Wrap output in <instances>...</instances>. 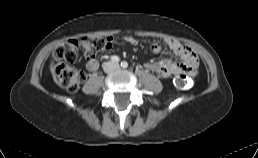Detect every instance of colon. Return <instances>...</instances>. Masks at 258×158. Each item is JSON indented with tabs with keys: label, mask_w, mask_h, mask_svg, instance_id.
Segmentation results:
<instances>
[{
	"label": "colon",
	"mask_w": 258,
	"mask_h": 158,
	"mask_svg": "<svg viewBox=\"0 0 258 158\" xmlns=\"http://www.w3.org/2000/svg\"><path fill=\"white\" fill-rule=\"evenodd\" d=\"M111 47L109 37H80L65 40L54 52L51 68L58 82L69 92H75L84 79V74L76 70L73 64L79 59L81 52L86 57H95L103 50ZM176 86L185 90L190 86L187 76L176 80Z\"/></svg>",
	"instance_id": "5ec220e1"
}]
</instances>
